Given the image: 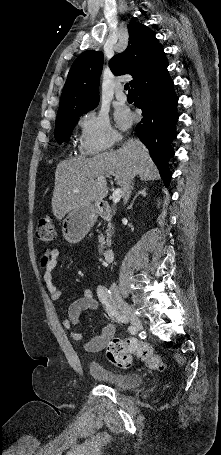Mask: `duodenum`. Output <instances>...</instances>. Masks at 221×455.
<instances>
[{"instance_id":"duodenum-1","label":"duodenum","mask_w":221,"mask_h":455,"mask_svg":"<svg viewBox=\"0 0 221 455\" xmlns=\"http://www.w3.org/2000/svg\"><path fill=\"white\" fill-rule=\"evenodd\" d=\"M97 213L107 221L112 219L111 207L109 205H99L97 207ZM114 256V250L112 246L107 247L103 251V259L107 262L111 261Z\"/></svg>"}]
</instances>
